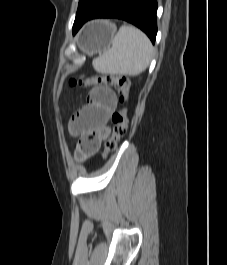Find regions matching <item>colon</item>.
I'll return each mask as SVG.
<instances>
[{"mask_svg":"<svg viewBox=\"0 0 227 265\" xmlns=\"http://www.w3.org/2000/svg\"><path fill=\"white\" fill-rule=\"evenodd\" d=\"M71 86H94V85H106L113 86L119 94V102L123 107L112 114L111 135L104 142L103 156L106 158L112 153L119 142V140L125 135L128 127V108L126 103L129 100L130 82L126 76L122 75H95L90 77L72 78L70 80ZM77 156L83 155L77 149Z\"/></svg>","mask_w":227,"mask_h":265,"instance_id":"colon-1","label":"colon"}]
</instances>
